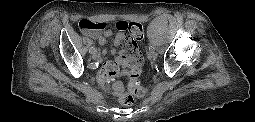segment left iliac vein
<instances>
[{
    "label": "left iliac vein",
    "instance_id": "obj_1",
    "mask_svg": "<svg viewBox=\"0 0 255 122\" xmlns=\"http://www.w3.org/2000/svg\"><path fill=\"white\" fill-rule=\"evenodd\" d=\"M148 57H149V59H151V60H156L157 57H158V54H157V52H155V51H150L149 54H148Z\"/></svg>",
    "mask_w": 255,
    "mask_h": 122
}]
</instances>
